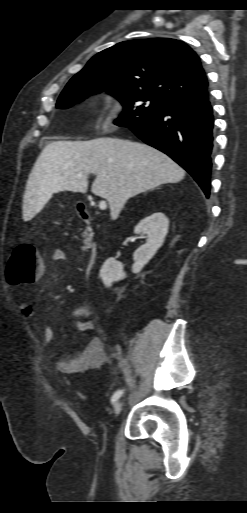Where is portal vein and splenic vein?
<instances>
[{"mask_svg": "<svg viewBox=\"0 0 247 513\" xmlns=\"http://www.w3.org/2000/svg\"><path fill=\"white\" fill-rule=\"evenodd\" d=\"M78 176H81V174H78ZM99 208L101 210H105L107 208V204H106V201L105 200H102L100 203H99Z\"/></svg>", "mask_w": 247, "mask_h": 513, "instance_id": "obj_1", "label": "portal vein and splenic vein"}]
</instances>
